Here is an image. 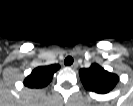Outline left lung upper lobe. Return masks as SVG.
Instances as JSON below:
<instances>
[{"label": "left lung upper lobe", "instance_id": "1", "mask_svg": "<svg viewBox=\"0 0 133 106\" xmlns=\"http://www.w3.org/2000/svg\"><path fill=\"white\" fill-rule=\"evenodd\" d=\"M79 75L87 90L99 94L108 93L119 81L116 74L104 70L98 64H92L90 68L81 69Z\"/></svg>", "mask_w": 133, "mask_h": 106}]
</instances>
